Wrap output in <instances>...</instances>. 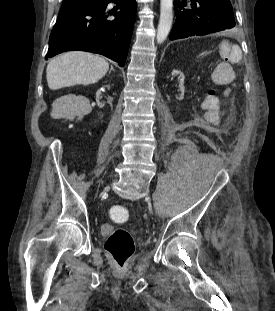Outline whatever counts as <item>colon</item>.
Instances as JSON below:
<instances>
[{
    "instance_id": "5ec220e1",
    "label": "colon",
    "mask_w": 275,
    "mask_h": 311,
    "mask_svg": "<svg viewBox=\"0 0 275 311\" xmlns=\"http://www.w3.org/2000/svg\"><path fill=\"white\" fill-rule=\"evenodd\" d=\"M53 116L63 118L65 117V113L60 109H55ZM109 214L115 220H127L129 218L127 210L123 207H112L109 210ZM105 250L114 259L116 266L122 268L134 253V239L128 230L115 228L105 241Z\"/></svg>"
}]
</instances>
